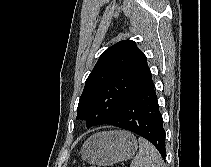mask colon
<instances>
[{"label": "colon", "mask_w": 211, "mask_h": 167, "mask_svg": "<svg viewBox=\"0 0 211 167\" xmlns=\"http://www.w3.org/2000/svg\"><path fill=\"white\" fill-rule=\"evenodd\" d=\"M82 167H91V166H86V165H84V166H82Z\"/></svg>", "instance_id": "obj_1"}]
</instances>
